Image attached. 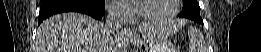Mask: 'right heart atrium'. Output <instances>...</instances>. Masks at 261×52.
<instances>
[{
	"label": "right heart atrium",
	"instance_id": "right-heart-atrium-1",
	"mask_svg": "<svg viewBox=\"0 0 261 52\" xmlns=\"http://www.w3.org/2000/svg\"><path fill=\"white\" fill-rule=\"evenodd\" d=\"M109 13L114 18H127L129 16V9L123 1L115 0L108 5Z\"/></svg>",
	"mask_w": 261,
	"mask_h": 52
}]
</instances>
